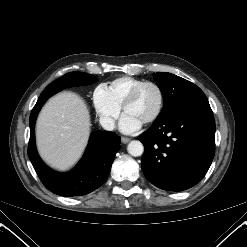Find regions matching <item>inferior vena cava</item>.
Masks as SVG:
<instances>
[{
	"label": "inferior vena cava",
	"mask_w": 247,
	"mask_h": 247,
	"mask_svg": "<svg viewBox=\"0 0 247 247\" xmlns=\"http://www.w3.org/2000/svg\"><path fill=\"white\" fill-rule=\"evenodd\" d=\"M101 126L108 131H112L115 127L114 120L110 117H100Z\"/></svg>",
	"instance_id": "inferior-vena-cava-1"
}]
</instances>
